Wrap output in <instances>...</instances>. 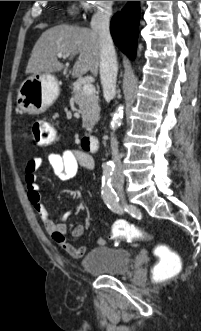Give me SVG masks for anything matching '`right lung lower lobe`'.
Here are the masks:
<instances>
[{
    "label": "right lung lower lobe",
    "instance_id": "1",
    "mask_svg": "<svg viewBox=\"0 0 201 331\" xmlns=\"http://www.w3.org/2000/svg\"><path fill=\"white\" fill-rule=\"evenodd\" d=\"M139 16L138 1H130L120 13L113 16L110 25L115 44L131 59L136 56Z\"/></svg>",
    "mask_w": 201,
    "mask_h": 331
}]
</instances>
